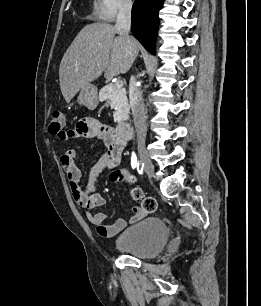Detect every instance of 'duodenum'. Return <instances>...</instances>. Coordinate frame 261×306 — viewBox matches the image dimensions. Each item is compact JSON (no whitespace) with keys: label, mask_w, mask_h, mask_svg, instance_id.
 <instances>
[{"label":"duodenum","mask_w":261,"mask_h":306,"mask_svg":"<svg viewBox=\"0 0 261 306\" xmlns=\"http://www.w3.org/2000/svg\"><path fill=\"white\" fill-rule=\"evenodd\" d=\"M117 133L118 135L126 140H129L133 135V128L130 122L121 121L117 125Z\"/></svg>","instance_id":"duodenum-1"}]
</instances>
